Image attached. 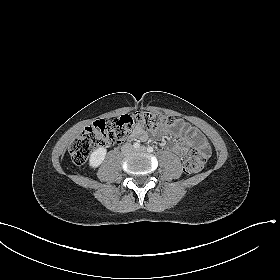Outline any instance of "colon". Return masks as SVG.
I'll use <instances>...</instances> for the list:
<instances>
[{
    "label": "colon",
    "mask_w": 280,
    "mask_h": 280,
    "mask_svg": "<svg viewBox=\"0 0 280 280\" xmlns=\"http://www.w3.org/2000/svg\"><path fill=\"white\" fill-rule=\"evenodd\" d=\"M178 119L171 115L148 111H137L131 115L95 121L86 128L70 145V154L75 164H84L89 155L105 145L122 143L129 128L139 124L147 129L176 125ZM209 148H195L184 161V171L188 174L199 172L208 160Z\"/></svg>",
    "instance_id": "1"
}]
</instances>
